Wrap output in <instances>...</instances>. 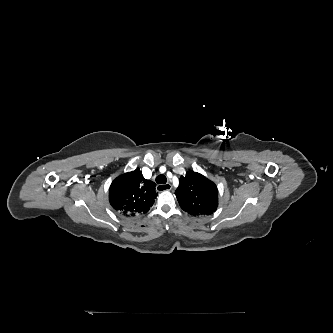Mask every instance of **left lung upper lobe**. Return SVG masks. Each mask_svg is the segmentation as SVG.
Returning <instances> with one entry per match:
<instances>
[{
	"instance_id": "5c2ea615",
	"label": "left lung upper lobe",
	"mask_w": 333,
	"mask_h": 333,
	"mask_svg": "<svg viewBox=\"0 0 333 333\" xmlns=\"http://www.w3.org/2000/svg\"><path fill=\"white\" fill-rule=\"evenodd\" d=\"M175 195L181 208L193 216L212 214L217 209V187L200 173L188 171L181 176Z\"/></svg>"
}]
</instances>
